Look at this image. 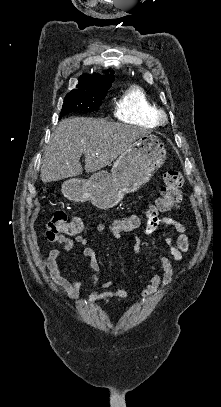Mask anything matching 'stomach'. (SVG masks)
<instances>
[{"label":"stomach","instance_id":"stomach-1","mask_svg":"<svg viewBox=\"0 0 221 407\" xmlns=\"http://www.w3.org/2000/svg\"><path fill=\"white\" fill-rule=\"evenodd\" d=\"M166 149L153 134L134 140L113 163L111 172L99 171L88 180L72 178L62 185L65 197L76 203L91 201L99 209L116 206L125 194L144 186L164 164Z\"/></svg>","mask_w":221,"mask_h":407}]
</instances>
